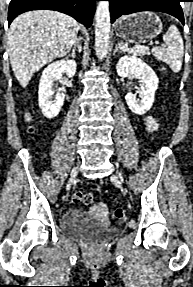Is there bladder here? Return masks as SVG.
Returning a JSON list of instances; mask_svg holds the SVG:
<instances>
[{
  "mask_svg": "<svg viewBox=\"0 0 193 287\" xmlns=\"http://www.w3.org/2000/svg\"><path fill=\"white\" fill-rule=\"evenodd\" d=\"M60 230L70 238L83 241H100L119 232L117 226L99 221V215H85L83 210L65 212L61 218Z\"/></svg>",
  "mask_w": 193,
  "mask_h": 287,
  "instance_id": "obj_1",
  "label": "bladder"
}]
</instances>
